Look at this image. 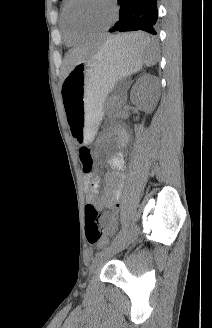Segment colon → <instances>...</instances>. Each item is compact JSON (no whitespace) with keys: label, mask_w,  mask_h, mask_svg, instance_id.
I'll use <instances>...</instances> for the list:
<instances>
[{"label":"colon","mask_w":212,"mask_h":328,"mask_svg":"<svg viewBox=\"0 0 212 328\" xmlns=\"http://www.w3.org/2000/svg\"><path fill=\"white\" fill-rule=\"evenodd\" d=\"M79 158L84 173H90L93 169L92 152L89 147L83 146L79 149ZM85 235L88 243L93 246H101L105 243L103 232L98 224L99 211L93 204L85 207Z\"/></svg>","instance_id":"5ec220e1"}]
</instances>
